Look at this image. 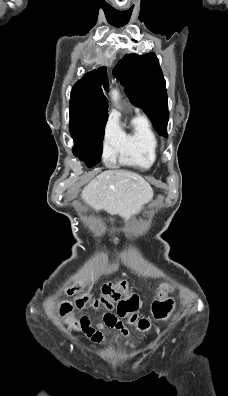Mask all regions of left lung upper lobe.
<instances>
[{"mask_svg": "<svg viewBox=\"0 0 228 396\" xmlns=\"http://www.w3.org/2000/svg\"><path fill=\"white\" fill-rule=\"evenodd\" d=\"M113 74L125 86L132 104L145 111L160 135L167 136L166 83L156 55L127 54L118 62Z\"/></svg>", "mask_w": 228, "mask_h": 396, "instance_id": "left-lung-upper-lobe-1", "label": "left lung upper lobe"}]
</instances>
